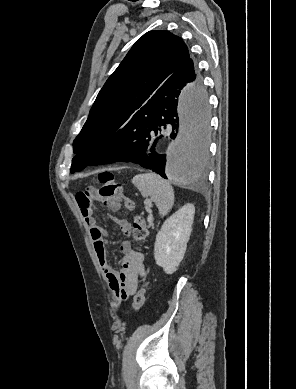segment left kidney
<instances>
[{
    "label": "left kidney",
    "mask_w": 296,
    "mask_h": 389,
    "mask_svg": "<svg viewBox=\"0 0 296 389\" xmlns=\"http://www.w3.org/2000/svg\"><path fill=\"white\" fill-rule=\"evenodd\" d=\"M193 204H186L168 218L156 235L154 258L166 274H173L183 260L192 231Z\"/></svg>",
    "instance_id": "obj_1"
}]
</instances>
